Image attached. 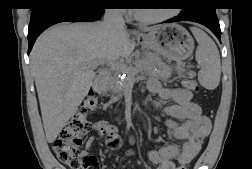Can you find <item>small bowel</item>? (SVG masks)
<instances>
[{"instance_id":"c3829d8e","label":"small bowel","mask_w":252,"mask_h":169,"mask_svg":"<svg viewBox=\"0 0 252 169\" xmlns=\"http://www.w3.org/2000/svg\"><path fill=\"white\" fill-rule=\"evenodd\" d=\"M149 91L158 95L164 101H173L163 108L166 115V125L170 129L171 137L176 140H185L182 146L175 144L164 146L148 153V159L157 166V169H176V163L191 161L200 151L201 141L211 131L210 120L202 115L198 104L192 101V93L183 88H162L157 80H150ZM176 120L180 121L179 123ZM110 123L97 121L92 128L100 136L106 135V128ZM95 137L86 141V152L94 145ZM120 143V141H119ZM133 152H127L131 155Z\"/></svg>"}]
</instances>
